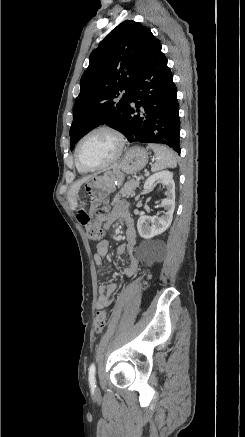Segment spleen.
Returning <instances> with one entry per match:
<instances>
[{
	"mask_svg": "<svg viewBox=\"0 0 245 437\" xmlns=\"http://www.w3.org/2000/svg\"><path fill=\"white\" fill-rule=\"evenodd\" d=\"M148 146L154 151L156 157V162L151 166L152 172L177 166V156L168 147L161 144H149Z\"/></svg>",
	"mask_w": 245,
	"mask_h": 437,
	"instance_id": "obj_1",
	"label": "spleen"
}]
</instances>
